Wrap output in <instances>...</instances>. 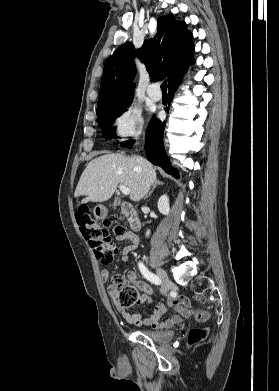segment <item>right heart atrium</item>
I'll return each mask as SVG.
<instances>
[{"instance_id":"d8ad5b80","label":"right heart atrium","mask_w":279,"mask_h":391,"mask_svg":"<svg viewBox=\"0 0 279 391\" xmlns=\"http://www.w3.org/2000/svg\"><path fill=\"white\" fill-rule=\"evenodd\" d=\"M143 128V117L140 109L128 106L120 111L114 119L115 135L126 140L138 136Z\"/></svg>"}]
</instances>
